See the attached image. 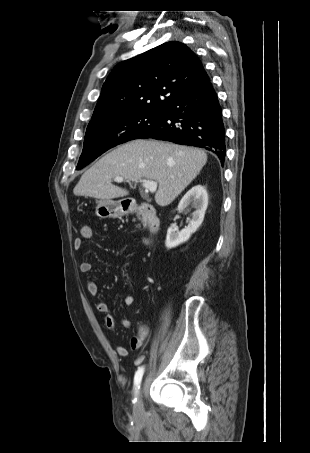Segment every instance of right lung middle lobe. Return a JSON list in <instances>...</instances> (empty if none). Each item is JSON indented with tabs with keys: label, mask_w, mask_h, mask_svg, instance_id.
Returning a JSON list of instances; mask_svg holds the SVG:
<instances>
[{
	"label": "right lung middle lobe",
	"mask_w": 310,
	"mask_h": 453,
	"mask_svg": "<svg viewBox=\"0 0 310 453\" xmlns=\"http://www.w3.org/2000/svg\"><path fill=\"white\" fill-rule=\"evenodd\" d=\"M163 110L133 111L90 122L77 169H81L108 149L139 138L161 121Z\"/></svg>",
	"instance_id": "right-lung-middle-lobe-1"
}]
</instances>
